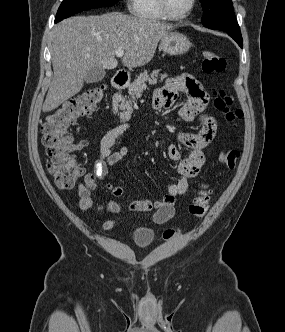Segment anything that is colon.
Here are the masks:
<instances>
[{
	"instance_id": "obj_1",
	"label": "colon",
	"mask_w": 285,
	"mask_h": 332,
	"mask_svg": "<svg viewBox=\"0 0 285 332\" xmlns=\"http://www.w3.org/2000/svg\"><path fill=\"white\" fill-rule=\"evenodd\" d=\"M202 56V70L206 74H217L224 71L226 61L223 57L211 50H204ZM105 93L106 87L103 84L87 89L65 101L47 116L41 126L42 144L49 158L47 168L56 185L61 189L73 187L85 173L84 168L75 157V152L81 144L74 142L70 127L80 117L95 111ZM214 106L223 113L228 122L234 125L242 118V111L233 106L232 98L223 90L214 92ZM240 156L239 148H231L220 154L219 161L223 167L234 169ZM209 201L208 185L202 182L189 206V212L195 217L202 218L209 208ZM179 235L180 231L174 229H168L163 233L166 240L174 239Z\"/></svg>"
}]
</instances>
